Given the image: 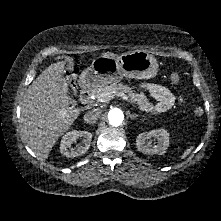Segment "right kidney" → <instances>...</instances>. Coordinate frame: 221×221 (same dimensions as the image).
Here are the masks:
<instances>
[{"mask_svg": "<svg viewBox=\"0 0 221 221\" xmlns=\"http://www.w3.org/2000/svg\"><path fill=\"white\" fill-rule=\"evenodd\" d=\"M78 138L82 139V143L76 149L72 148V143L76 142ZM91 140L92 134L88 131L73 130L67 132L61 140L60 153L66 157L81 156L89 149Z\"/></svg>", "mask_w": 221, "mask_h": 221, "instance_id": "obj_1", "label": "right kidney"}]
</instances>
